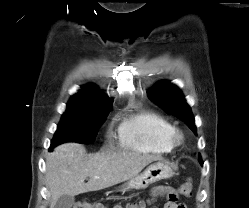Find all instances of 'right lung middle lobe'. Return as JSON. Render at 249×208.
I'll list each match as a JSON object with an SVG mask.
<instances>
[{
    "mask_svg": "<svg viewBox=\"0 0 249 208\" xmlns=\"http://www.w3.org/2000/svg\"><path fill=\"white\" fill-rule=\"evenodd\" d=\"M108 113L109 110L82 107L67 108L51 141L49 151L64 142L84 144L93 142Z\"/></svg>",
    "mask_w": 249,
    "mask_h": 208,
    "instance_id": "dd1d6c3e",
    "label": "right lung middle lobe"
}]
</instances>
